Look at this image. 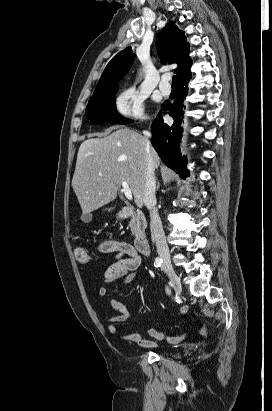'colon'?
Here are the masks:
<instances>
[{
	"label": "colon",
	"instance_id": "1",
	"mask_svg": "<svg viewBox=\"0 0 272 411\" xmlns=\"http://www.w3.org/2000/svg\"><path fill=\"white\" fill-rule=\"evenodd\" d=\"M75 258L82 264H87L90 261V256L83 247L75 248Z\"/></svg>",
	"mask_w": 272,
	"mask_h": 411
}]
</instances>
